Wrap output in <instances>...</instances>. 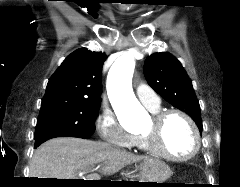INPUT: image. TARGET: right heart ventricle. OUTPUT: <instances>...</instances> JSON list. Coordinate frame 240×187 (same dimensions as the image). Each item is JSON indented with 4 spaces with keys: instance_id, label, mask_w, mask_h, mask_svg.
<instances>
[{
    "instance_id": "1",
    "label": "right heart ventricle",
    "mask_w": 240,
    "mask_h": 187,
    "mask_svg": "<svg viewBox=\"0 0 240 187\" xmlns=\"http://www.w3.org/2000/svg\"><path fill=\"white\" fill-rule=\"evenodd\" d=\"M151 111L154 112V113H156V112L158 111V109H157V110H151ZM135 145H136L138 148L142 149V150H146V149H145L144 142H143V140H142L141 137H136Z\"/></svg>"
}]
</instances>
